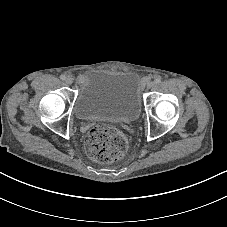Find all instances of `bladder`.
<instances>
[{
    "instance_id": "1",
    "label": "bladder",
    "mask_w": 227,
    "mask_h": 227,
    "mask_svg": "<svg viewBox=\"0 0 227 227\" xmlns=\"http://www.w3.org/2000/svg\"><path fill=\"white\" fill-rule=\"evenodd\" d=\"M140 94L135 73L94 71L85 79L73 111L81 121L102 118L132 123L141 115Z\"/></svg>"
}]
</instances>
